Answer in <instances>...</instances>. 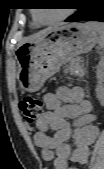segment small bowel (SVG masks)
<instances>
[{
	"label": "small bowel",
	"mask_w": 104,
	"mask_h": 169,
	"mask_svg": "<svg viewBox=\"0 0 104 169\" xmlns=\"http://www.w3.org/2000/svg\"><path fill=\"white\" fill-rule=\"evenodd\" d=\"M46 111L36 123L35 144L54 169H69V163L85 164L89 146L96 140L99 128L90 101L79 87H59L43 96ZM69 120L74 122L72 128ZM50 132H53L50 135ZM72 139V149L68 140Z\"/></svg>",
	"instance_id": "small-bowel-1"
}]
</instances>
